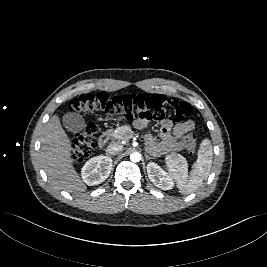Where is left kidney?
<instances>
[{
	"mask_svg": "<svg viewBox=\"0 0 267 267\" xmlns=\"http://www.w3.org/2000/svg\"><path fill=\"white\" fill-rule=\"evenodd\" d=\"M147 174L150 181L162 190H170L174 187L172 176L155 162L147 164Z\"/></svg>",
	"mask_w": 267,
	"mask_h": 267,
	"instance_id": "obj_1",
	"label": "left kidney"
}]
</instances>
